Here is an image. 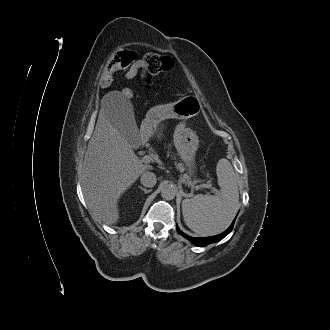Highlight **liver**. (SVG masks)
Wrapping results in <instances>:
<instances>
[{
	"instance_id": "1",
	"label": "liver",
	"mask_w": 330,
	"mask_h": 330,
	"mask_svg": "<svg viewBox=\"0 0 330 330\" xmlns=\"http://www.w3.org/2000/svg\"><path fill=\"white\" fill-rule=\"evenodd\" d=\"M114 107L104 105L100 109L85 153L81 181L89 210L107 225L118 222L120 196L150 168L141 162L128 139L115 126ZM157 124L148 113L141 123L139 136H152Z\"/></svg>"
}]
</instances>
